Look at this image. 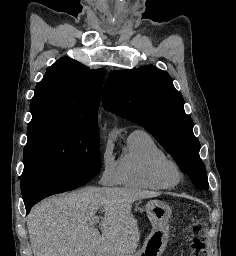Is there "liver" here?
Instances as JSON below:
<instances>
[{"label":"liver","instance_id":"6515ba94","mask_svg":"<svg viewBox=\"0 0 236 256\" xmlns=\"http://www.w3.org/2000/svg\"><path fill=\"white\" fill-rule=\"evenodd\" d=\"M157 196L160 192L131 188H84L47 198L27 216L32 252L34 256H130L140 236L132 204ZM98 210L104 212L102 234L88 228Z\"/></svg>","mask_w":236,"mask_h":256}]
</instances>
